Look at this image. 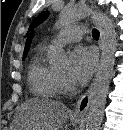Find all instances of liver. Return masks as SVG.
<instances>
[{
	"instance_id": "liver-1",
	"label": "liver",
	"mask_w": 123,
	"mask_h": 130,
	"mask_svg": "<svg viewBox=\"0 0 123 130\" xmlns=\"http://www.w3.org/2000/svg\"><path fill=\"white\" fill-rule=\"evenodd\" d=\"M70 114L61 102L31 98L20 106L13 130H61Z\"/></svg>"
}]
</instances>
